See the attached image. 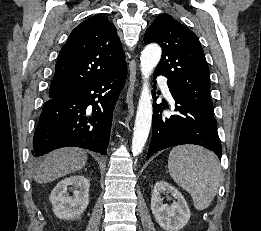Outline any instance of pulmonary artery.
Returning <instances> with one entry per match:
<instances>
[{"label": "pulmonary artery", "instance_id": "e3ab8cb5", "mask_svg": "<svg viewBox=\"0 0 261 231\" xmlns=\"http://www.w3.org/2000/svg\"><path fill=\"white\" fill-rule=\"evenodd\" d=\"M157 83L158 85L162 88V90L164 91V93L171 98V94L167 85V79L164 76H159L157 78Z\"/></svg>", "mask_w": 261, "mask_h": 231}]
</instances>
